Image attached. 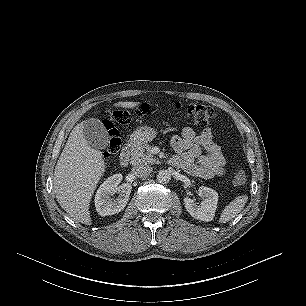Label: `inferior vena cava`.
<instances>
[{
	"label": "inferior vena cava",
	"mask_w": 306,
	"mask_h": 306,
	"mask_svg": "<svg viewBox=\"0 0 306 306\" xmlns=\"http://www.w3.org/2000/svg\"><path fill=\"white\" fill-rule=\"evenodd\" d=\"M152 171L153 168L149 165H138L133 168L132 173L136 177L141 178L149 176L152 173Z\"/></svg>",
	"instance_id": "obj_1"
}]
</instances>
